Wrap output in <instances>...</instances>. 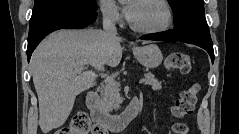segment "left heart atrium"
Masks as SVG:
<instances>
[{
    "instance_id": "1",
    "label": "left heart atrium",
    "mask_w": 239,
    "mask_h": 134,
    "mask_svg": "<svg viewBox=\"0 0 239 134\" xmlns=\"http://www.w3.org/2000/svg\"><path fill=\"white\" fill-rule=\"evenodd\" d=\"M126 17L130 20L134 14V2L125 7Z\"/></svg>"
}]
</instances>
